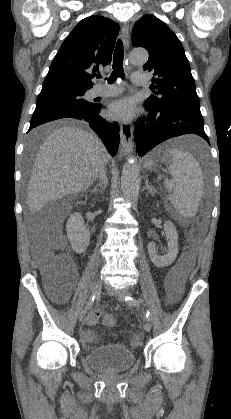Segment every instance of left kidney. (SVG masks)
Returning a JSON list of instances; mask_svg holds the SVG:
<instances>
[{
  "label": "left kidney",
  "mask_w": 231,
  "mask_h": 419,
  "mask_svg": "<svg viewBox=\"0 0 231 419\" xmlns=\"http://www.w3.org/2000/svg\"><path fill=\"white\" fill-rule=\"evenodd\" d=\"M164 231L168 243V251L163 256L157 254L154 242L148 244V253L153 264L158 267H166L173 263L178 254V234L175 225L171 221H165Z\"/></svg>",
  "instance_id": "5707ae66"
}]
</instances>
